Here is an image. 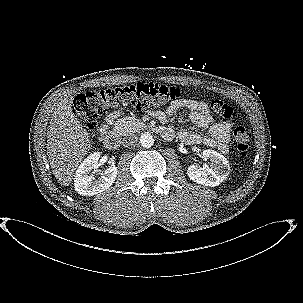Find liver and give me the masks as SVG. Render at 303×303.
I'll use <instances>...</instances> for the list:
<instances>
[{"mask_svg": "<svg viewBox=\"0 0 303 303\" xmlns=\"http://www.w3.org/2000/svg\"><path fill=\"white\" fill-rule=\"evenodd\" d=\"M72 93L57 103L47 131V153L58 182L69 186L74 172L90 148L89 133L72 111Z\"/></svg>", "mask_w": 303, "mask_h": 303, "instance_id": "obj_1", "label": "liver"}]
</instances>
